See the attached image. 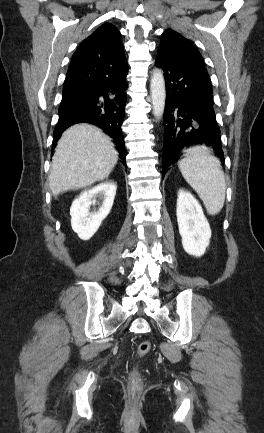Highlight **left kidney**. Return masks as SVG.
Segmentation results:
<instances>
[{
	"mask_svg": "<svg viewBox=\"0 0 264 433\" xmlns=\"http://www.w3.org/2000/svg\"><path fill=\"white\" fill-rule=\"evenodd\" d=\"M176 215L184 250L201 257L209 246L211 229L199 202L184 189L178 191Z\"/></svg>",
	"mask_w": 264,
	"mask_h": 433,
	"instance_id": "5707ae66",
	"label": "left kidney"
}]
</instances>
